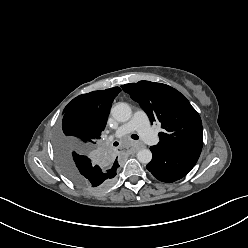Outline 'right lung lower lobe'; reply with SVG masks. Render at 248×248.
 <instances>
[{
	"mask_svg": "<svg viewBox=\"0 0 248 248\" xmlns=\"http://www.w3.org/2000/svg\"><path fill=\"white\" fill-rule=\"evenodd\" d=\"M85 157H87V156H85V155H80V154H78V153H74V154H73L74 163H75L76 165H80L81 167H83V165L85 164V162H86V160H87V159H85Z\"/></svg>",
	"mask_w": 248,
	"mask_h": 248,
	"instance_id": "right-lung-lower-lobe-1",
	"label": "right lung lower lobe"
}]
</instances>
